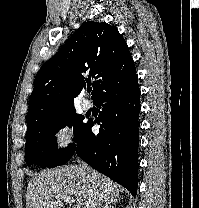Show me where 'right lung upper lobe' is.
<instances>
[{
	"mask_svg": "<svg viewBox=\"0 0 199 208\" xmlns=\"http://www.w3.org/2000/svg\"><path fill=\"white\" fill-rule=\"evenodd\" d=\"M135 74L128 46L115 26L83 23L38 71L30 97L27 132L75 111L74 98L91 79L94 101Z\"/></svg>",
	"mask_w": 199,
	"mask_h": 208,
	"instance_id": "obj_1",
	"label": "right lung upper lobe"
}]
</instances>
